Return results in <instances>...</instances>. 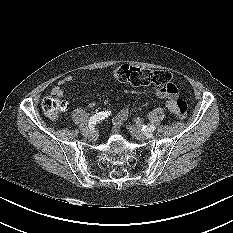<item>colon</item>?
I'll list each match as a JSON object with an SVG mask.
<instances>
[{
	"instance_id": "5ec220e1",
	"label": "colon",
	"mask_w": 233,
	"mask_h": 233,
	"mask_svg": "<svg viewBox=\"0 0 233 233\" xmlns=\"http://www.w3.org/2000/svg\"><path fill=\"white\" fill-rule=\"evenodd\" d=\"M110 74L116 80L133 86H152L156 89L176 92V87L171 82V75L165 70H145L124 64L114 68ZM176 106L177 116L184 118L187 110L186 103L178 99ZM66 108L67 103L58 97H46L42 101L44 114L53 121L58 120Z\"/></svg>"
}]
</instances>
